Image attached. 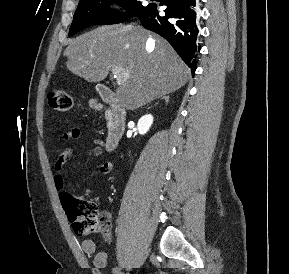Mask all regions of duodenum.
Returning a JSON list of instances; mask_svg holds the SVG:
<instances>
[{"label": "duodenum", "mask_w": 289, "mask_h": 274, "mask_svg": "<svg viewBox=\"0 0 289 274\" xmlns=\"http://www.w3.org/2000/svg\"><path fill=\"white\" fill-rule=\"evenodd\" d=\"M98 90L102 100L109 106L110 112V124L105 147L108 151H114L118 147L125 131L126 111L110 89L100 86Z\"/></svg>", "instance_id": "410a0bca"}]
</instances>
